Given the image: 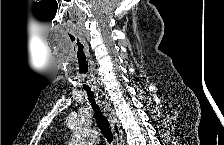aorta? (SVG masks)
I'll return each mask as SVG.
<instances>
[{
    "mask_svg": "<svg viewBox=\"0 0 224 145\" xmlns=\"http://www.w3.org/2000/svg\"><path fill=\"white\" fill-rule=\"evenodd\" d=\"M98 141V132L89 127L76 128L73 138V145H93Z\"/></svg>",
    "mask_w": 224,
    "mask_h": 145,
    "instance_id": "obj_1",
    "label": "aorta"
}]
</instances>
